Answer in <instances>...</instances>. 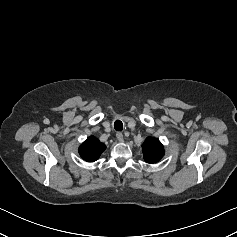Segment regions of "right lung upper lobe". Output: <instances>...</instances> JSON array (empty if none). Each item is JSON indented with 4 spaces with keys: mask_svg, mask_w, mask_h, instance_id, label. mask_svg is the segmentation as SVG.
Wrapping results in <instances>:
<instances>
[{
    "mask_svg": "<svg viewBox=\"0 0 237 237\" xmlns=\"http://www.w3.org/2000/svg\"><path fill=\"white\" fill-rule=\"evenodd\" d=\"M105 149L106 146L96 137L90 136L79 147V154L85 161L94 162L99 158Z\"/></svg>",
    "mask_w": 237,
    "mask_h": 237,
    "instance_id": "1",
    "label": "right lung upper lobe"
}]
</instances>
